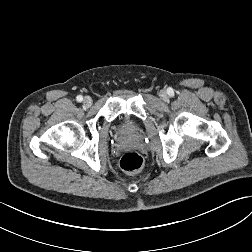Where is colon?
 Wrapping results in <instances>:
<instances>
[{"label":"colon","instance_id":"colon-1","mask_svg":"<svg viewBox=\"0 0 252 252\" xmlns=\"http://www.w3.org/2000/svg\"><path fill=\"white\" fill-rule=\"evenodd\" d=\"M143 165V157L135 152H127L120 159V166L127 173H137Z\"/></svg>","mask_w":252,"mask_h":252}]
</instances>
